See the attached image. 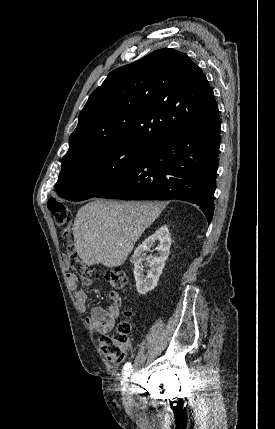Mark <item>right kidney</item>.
I'll return each instance as SVG.
<instances>
[{
  "label": "right kidney",
  "instance_id": "ca27d5eb",
  "mask_svg": "<svg viewBox=\"0 0 275 429\" xmlns=\"http://www.w3.org/2000/svg\"><path fill=\"white\" fill-rule=\"evenodd\" d=\"M159 242L156 247L158 250L157 256H147V252L151 247ZM171 247V236L167 226H161L154 234L149 236L142 244H140L134 254L131 256L130 261L134 264V278L136 281V288L140 295H145L157 285L159 276L165 266ZM146 260V265L150 267L147 275L143 274V262Z\"/></svg>",
  "mask_w": 275,
  "mask_h": 429
}]
</instances>
